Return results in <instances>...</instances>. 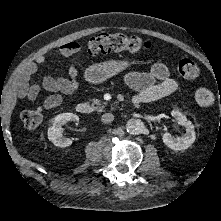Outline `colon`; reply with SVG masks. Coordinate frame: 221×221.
I'll use <instances>...</instances> for the list:
<instances>
[{
    "label": "colon",
    "mask_w": 221,
    "mask_h": 221,
    "mask_svg": "<svg viewBox=\"0 0 221 221\" xmlns=\"http://www.w3.org/2000/svg\"><path fill=\"white\" fill-rule=\"evenodd\" d=\"M151 44L137 36H127L120 33H103L93 37L87 44V51L92 55L106 54L110 52L129 51L132 53L147 51ZM179 75L185 80H194L200 74L198 65L191 59H183L177 67ZM195 100L201 106H209L215 102L214 94L200 88L195 92ZM43 120L40 109L26 110L21 114V121L26 128L38 127Z\"/></svg>",
    "instance_id": "1"
}]
</instances>
